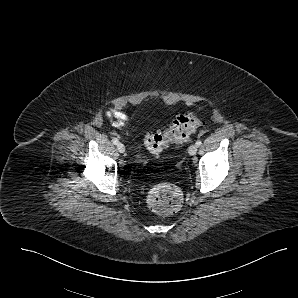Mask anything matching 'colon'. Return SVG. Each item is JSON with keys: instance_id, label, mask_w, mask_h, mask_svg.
<instances>
[{"instance_id": "obj_1", "label": "colon", "mask_w": 298, "mask_h": 298, "mask_svg": "<svg viewBox=\"0 0 298 298\" xmlns=\"http://www.w3.org/2000/svg\"><path fill=\"white\" fill-rule=\"evenodd\" d=\"M200 119L191 113L177 115L172 123L158 132H147L144 143L147 149L158 154L171 144L182 143L200 126ZM150 209L161 215L177 212L183 202L181 190L171 183H159L148 192Z\"/></svg>"}]
</instances>
